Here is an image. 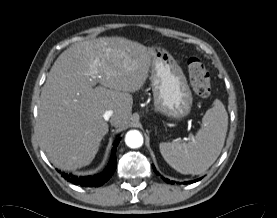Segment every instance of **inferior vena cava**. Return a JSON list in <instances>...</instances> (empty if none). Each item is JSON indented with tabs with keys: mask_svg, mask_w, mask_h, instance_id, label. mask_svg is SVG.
<instances>
[{
	"mask_svg": "<svg viewBox=\"0 0 277 218\" xmlns=\"http://www.w3.org/2000/svg\"><path fill=\"white\" fill-rule=\"evenodd\" d=\"M103 117L106 121H108L113 117V111L112 110L105 111V113L103 114Z\"/></svg>",
	"mask_w": 277,
	"mask_h": 218,
	"instance_id": "1",
	"label": "inferior vena cava"
}]
</instances>
